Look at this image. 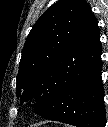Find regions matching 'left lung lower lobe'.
I'll list each match as a JSON object with an SVG mask.
<instances>
[{"label":"left lung lower lobe","instance_id":"obj_1","mask_svg":"<svg viewBox=\"0 0 108 127\" xmlns=\"http://www.w3.org/2000/svg\"><path fill=\"white\" fill-rule=\"evenodd\" d=\"M101 54L99 27L89 8L64 57L61 83L41 113L43 117L77 127H105Z\"/></svg>","mask_w":108,"mask_h":127}]
</instances>
